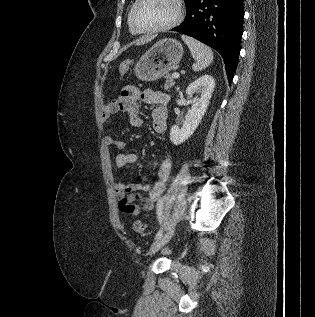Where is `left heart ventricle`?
I'll return each mask as SVG.
<instances>
[{
	"label": "left heart ventricle",
	"mask_w": 315,
	"mask_h": 317,
	"mask_svg": "<svg viewBox=\"0 0 315 317\" xmlns=\"http://www.w3.org/2000/svg\"><path fill=\"white\" fill-rule=\"evenodd\" d=\"M173 0H142L135 11V22L140 28L164 25L175 16Z\"/></svg>",
	"instance_id": "b2bd125f"
}]
</instances>
